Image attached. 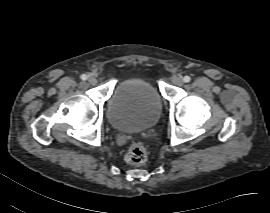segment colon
Segmentation results:
<instances>
[{"mask_svg": "<svg viewBox=\"0 0 270 213\" xmlns=\"http://www.w3.org/2000/svg\"><path fill=\"white\" fill-rule=\"evenodd\" d=\"M147 150L145 144L140 140L132 141L125 151V161L131 165H140L145 162Z\"/></svg>", "mask_w": 270, "mask_h": 213, "instance_id": "5ec220e1", "label": "colon"}]
</instances>
